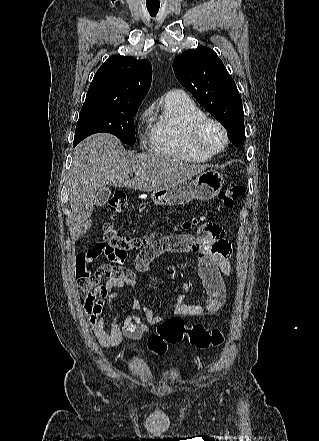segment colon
Returning <instances> with one entry per match:
<instances>
[{
  "label": "colon",
  "instance_id": "5ec220e1",
  "mask_svg": "<svg viewBox=\"0 0 319 441\" xmlns=\"http://www.w3.org/2000/svg\"><path fill=\"white\" fill-rule=\"evenodd\" d=\"M244 194V187L238 183H232L219 196V205L215 212L222 213L234 207L236 202ZM127 206V197L124 192H115L108 200V207L114 212H122ZM205 220L204 216L192 217L182 224L183 229H191ZM149 242V238L134 235H125L115 229L111 222L103 226L104 253L109 259L117 263L125 260L130 252L137 251ZM78 285L86 289L90 285L91 272L87 266H77ZM187 336L190 344L200 349L215 348L224 341V333L219 328L208 329L201 324H195L186 328L184 321L179 316L170 317L161 321L156 332L150 334L147 339L148 349L155 355H164L169 344L180 342Z\"/></svg>",
  "mask_w": 319,
  "mask_h": 441
}]
</instances>
